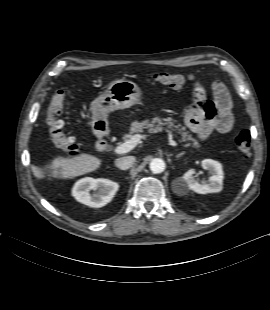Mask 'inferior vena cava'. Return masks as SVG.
Instances as JSON below:
<instances>
[{
  "label": "inferior vena cava",
  "mask_w": 270,
  "mask_h": 310,
  "mask_svg": "<svg viewBox=\"0 0 270 310\" xmlns=\"http://www.w3.org/2000/svg\"><path fill=\"white\" fill-rule=\"evenodd\" d=\"M134 162H135V158L133 156H125V157L116 159L115 165L121 170H127L130 167H132Z\"/></svg>",
  "instance_id": "obj_1"
}]
</instances>
